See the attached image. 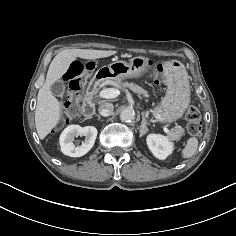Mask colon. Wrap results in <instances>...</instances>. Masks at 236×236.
Returning <instances> with one entry per match:
<instances>
[{
    "mask_svg": "<svg viewBox=\"0 0 236 236\" xmlns=\"http://www.w3.org/2000/svg\"><path fill=\"white\" fill-rule=\"evenodd\" d=\"M89 65L75 60L70 63L66 71L67 100L66 110L69 114H76L80 110L81 94L86 83V75ZM164 79V67L158 65L155 70L156 84H162ZM187 131L192 137H199L202 132L201 114L195 106H190L186 112Z\"/></svg>",
    "mask_w": 236,
    "mask_h": 236,
    "instance_id": "1",
    "label": "colon"
}]
</instances>
